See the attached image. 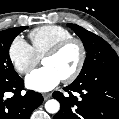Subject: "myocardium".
Instances as JSON below:
<instances>
[{"mask_svg": "<svg viewBox=\"0 0 119 119\" xmlns=\"http://www.w3.org/2000/svg\"><path fill=\"white\" fill-rule=\"evenodd\" d=\"M71 44H76L78 46L80 50V59L76 68L69 75L62 78L63 81L65 82L74 81L83 70V67L85 65L86 58H87V50L82 40L76 37H70L68 39H65L59 42L58 44H56L53 48H51L43 57V60H44L45 58H48V57L57 56L60 53H62Z\"/></svg>", "mask_w": 119, "mask_h": 119, "instance_id": "f54148a6", "label": "myocardium"}]
</instances>
